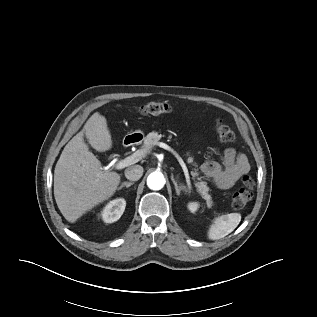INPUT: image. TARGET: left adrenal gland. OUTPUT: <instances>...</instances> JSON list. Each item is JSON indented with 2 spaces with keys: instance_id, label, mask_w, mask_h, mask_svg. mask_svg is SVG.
<instances>
[{
  "instance_id": "left-adrenal-gland-1",
  "label": "left adrenal gland",
  "mask_w": 317,
  "mask_h": 317,
  "mask_svg": "<svg viewBox=\"0 0 317 317\" xmlns=\"http://www.w3.org/2000/svg\"><path fill=\"white\" fill-rule=\"evenodd\" d=\"M171 179H172V182H173V184H174V186H175V190H176V193H177L178 196H180L181 191H183V192H185V193H188V194L191 193V191L189 190V188H187L186 186H184V185L179 186V185L176 183V181H175L173 175H172Z\"/></svg>"
}]
</instances>
